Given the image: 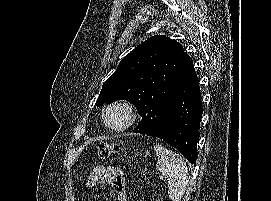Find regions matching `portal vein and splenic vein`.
Instances as JSON below:
<instances>
[{"mask_svg": "<svg viewBox=\"0 0 271 201\" xmlns=\"http://www.w3.org/2000/svg\"><path fill=\"white\" fill-rule=\"evenodd\" d=\"M159 178H160L161 180H163L165 177H164V176H160Z\"/></svg>", "mask_w": 271, "mask_h": 201, "instance_id": "obj_1", "label": "portal vein and splenic vein"}]
</instances>
